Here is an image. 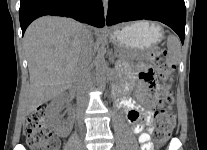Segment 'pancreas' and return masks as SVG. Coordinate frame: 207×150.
Instances as JSON below:
<instances>
[{"label":"pancreas","mask_w":207,"mask_h":150,"mask_svg":"<svg viewBox=\"0 0 207 150\" xmlns=\"http://www.w3.org/2000/svg\"><path fill=\"white\" fill-rule=\"evenodd\" d=\"M120 57H121V54H120ZM148 59H149V53H146V54H137L131 60H148ZM121 60H123V57H121Z\"/></svg>","instance_id":"1"}]
</instances>
